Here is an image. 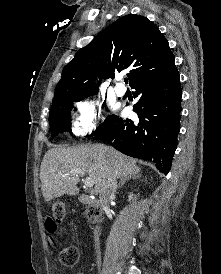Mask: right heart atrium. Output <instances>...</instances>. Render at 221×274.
Returning <instances> with one entry per match:
<instances>
[{
  "label": "right heart atrium",
  "mask_w": 221,
  "mask_h": 274,
  "mask_svg": "<svg viewBox=\"0 0 221 274\" xmlns=\"http://www.w3.org/2000/svg\"><path fill=\"white\" fill-rule=\"evenodd\" d=\"M76 109L72 125L74 134L83 136L95 131L102 117L101 104L94 99H83L76 103Z\"/></svg>",
  "instance_id": "obj_1"
}]
</instances>
